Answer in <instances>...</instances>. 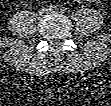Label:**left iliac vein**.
<instances>
[{
  "label": "left iliac vein",
  "instance_id": "obj_1",
  "mask_svg": "<svg viewBox=\"0 0 111 106\" xmlns=\"http://www.w3.org/2000/svg\"><path fill=\"white\" fill-rule=\"evenodd\" d=\"M50 12H58L57 10H55V11H50Z\"/></svg>",
  "mask_w": 111,
  "mask_h": 106
}]
</instances>
